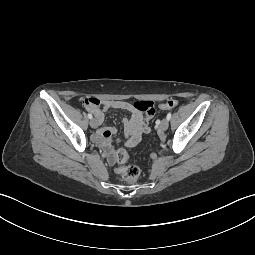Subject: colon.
Instances as JSON below:
<instances>
[{"label":"colon","instance_id":"1","mask_svg":"<svg viewBox=\"0 0 255 255\" xmlns=\"http://www.w3.org/2000/svg\"><path fill=\"white\" fill-rule=\"evenodd\" d=\"M85 105H94L97 104V101L94 98H86L84 100ZM178 105V101L176 100H168L161 104V107L165 109L174 108ZM115 162L117 164L116 172L122 176V178L128 182L133 183L135 182L139 175H140V169L138 166L134 164L126 165V162L128 161L129 155L126 150L120 149L115 154Z\"/></svg>","mask_w":255,"mask_h":255}]
</instances>
